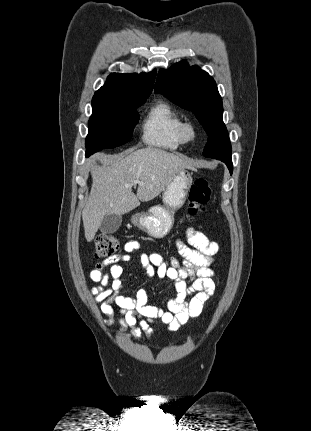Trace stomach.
I'll return each instance as SVG.
<instances>
[{"instance_id":"1","label":"stomach","mask_w":311,"mask_h":431,"mask_svg":"<svg viewBox=\"0 0 311 431\" xmlns=\"http://www.w3.org/2000/svg\"><path fill=\"white\" fill-rule=\"evenodd\" d=\"M193 184L191 172L181 170L162 192V204L151 206L148 212L133 214L131 223L151 237H165L175 223V214L184 206Z\"/></svg>"}]
</instances>
